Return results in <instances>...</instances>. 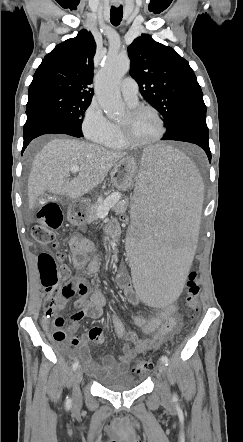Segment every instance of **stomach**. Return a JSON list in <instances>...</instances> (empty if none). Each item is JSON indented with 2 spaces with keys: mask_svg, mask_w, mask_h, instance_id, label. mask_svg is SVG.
Instances as JSON below:
<instances>
[{
  "mask_svg": "<svg viewBox=\"0 0 243 442\" xmlns=\"http://www.w3.org/2000/svg\"><path fill=\"white\" fill-rule=\"evenodd\" d=\"M136 167L137 163L131 157L118 161L110 173L111 183L120 191L128 190L133 185L135 175H138ZM67 219L71 224L81 226L86 221V215L73 203L67 211Z\"/></svg>",
  "mask_w": 243,
  "mask_h": 442,
  "instance_id": "stomach-1",
  "label": "stomach"
}]
</instances>
